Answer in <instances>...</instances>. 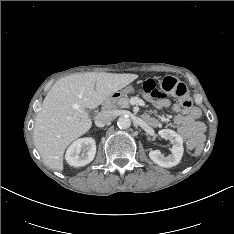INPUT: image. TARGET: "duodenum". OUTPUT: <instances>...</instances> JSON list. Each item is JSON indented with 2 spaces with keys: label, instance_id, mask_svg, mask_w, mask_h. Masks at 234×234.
<instances>
[{
  "label": "duodenum",
  "instance_id": "1",
  "mask_svg": "<svg viewBox=\"0 0 234 234\" xmlns=\"http://www.w3.org/2000/svg\"><path fill=\"white\" fill-rule=\"evenodd\" d=\"M119 96H120L119 93H113L112 95L107 97L106 100L104 101L103 105H102V108L104 110L110 109L114 105V103L117 101Z\"/></svg>",
  "mask_w": 234,
  "mask_h": 234
}]
</instances>
